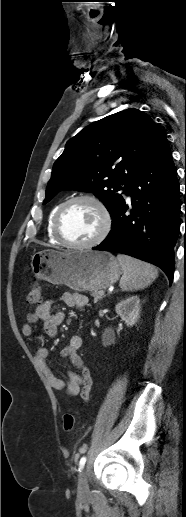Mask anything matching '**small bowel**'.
<instances>
[{
	"label": "small bowel",
	"mask_w": 186,
	"mask_h": 517,
	"mask_svg": "<svg viewBox=\"0 0 186 517\" xmlns=\"http://www.w3.org/2000/svg\"><path fill=\"white\" fill-rule=\"evenodd\" d=\"M60 300L65 305L76 308H82L88 304L87 297L79 293H64ZM64 319V313L52 311V301L46 300L27 315L26 323L22 326V333L24 336L31 337L34 333L33 326L41 322L45 335L48 337H56L58 328ZM82 344V337L75 334L71 336L68 345L60 351V356L69 358L78 371H70L67 379L56 376L49 368L47 365L49 351L45 347H38L34 356L49 385L53 389L62 390L69 396L79 395L82 402L86 403L91 396L92 377L83 358L79 354Z\"/></svg>",
	"instance_id": "small-bowel-1"
}]
</instances>
